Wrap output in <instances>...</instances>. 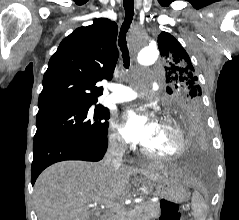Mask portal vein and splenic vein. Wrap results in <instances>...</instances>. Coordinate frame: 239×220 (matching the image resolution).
<instances>
[{"label": "portal vein and splenic vein", "mask_w": 239, "mask_h": 220, "mask_svg": "<svg viewBox=\"0 0 239 220\" xmlns=\"http://www.w3.org/2000/svg\"><path fill=\"white\" fill-rule=\"evenodd\" d=\"M114 206H115V204H111V205H110V207H114ZM131 212H132V210H131ZM131 212H130V213H131Z\"/></svg>", "instance_id": "obj_1"}]
</instances>
